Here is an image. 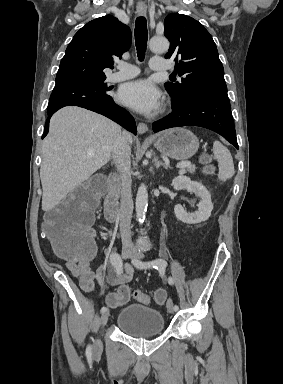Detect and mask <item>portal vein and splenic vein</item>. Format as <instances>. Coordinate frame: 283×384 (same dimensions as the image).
<instances>
[{"instance_id": "portal-vein-and-splenic-vein-1", "label": "portal vein and splenic vein", "mask_w": 283, "mask_h": 384, "mask_svg": "<svg viewBox=\"0 0 283 384\" xmlns=\"http://www.w3.org/2000/svg\"><path fill=\"white\" fill-rule=\"evenodd\" d=\"M187 166H191V162H180V164H177L176 168H182L183 170V168H187Z\"/></svg>"}]
</instances>
